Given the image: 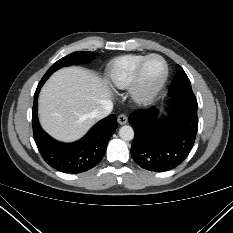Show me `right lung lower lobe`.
I'll use <instances>...</instances> for the list:
<instances>
[{"label":"right lung lower lobe","mask_w":233,"mask_h":233,"mask_svg":"<svg viewBox=\"0 0 233 233\" xmlns=\"http://www.w3.org/2000/svg\"><path fill=\"white\" fill-rule=\"evenodd\" d=\"M43 84H38L32 109L33 135L40 154L51 167L61 172L81 173L93 168L103 158L108 141L117 129L116 116L99 121L77 142H58L43 131L38 121L37 99Z\"/></svg>","instance_id":"1"}]
</instances>
